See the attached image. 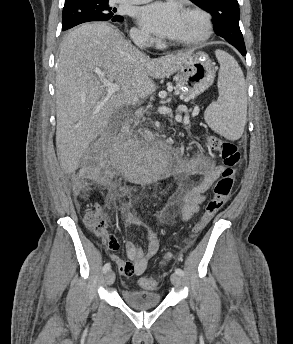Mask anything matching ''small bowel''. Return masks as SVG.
I'll list each match as a JSON object with an SVG mask.
<instances>
[{"mask_svg":"<svg viewBox=\"0 0 293 344\" xmlns=\"http://www.w3.org/2000/svg\"><path fill=\"white\" fill-rule=\"evenodd\" d=\"M224 167L217 165L206 155H195L182 162L181 172L188 175H199L200 179L189 186L183 195L182 215L185 220H190L200 211L201 205L206 200V194L212 184L220 177ZM99 209V205L96 204ZM124 225L126 227L136 225L147 228V248L141 249L132 241L125 243L127 260L117 254H111L110 259L114 262L122 275L126 277L141 276L144 274L148 262L157 254L159 241L157 232L143 223L137 216L125 213ZM103 239L107 249L117 250L119 247L117 238L108 232H103Z\"/></svg>","mask_w":293,"mask_h":344,"instance_id":"obj_1","label":"small bowel"}]
</instances>
